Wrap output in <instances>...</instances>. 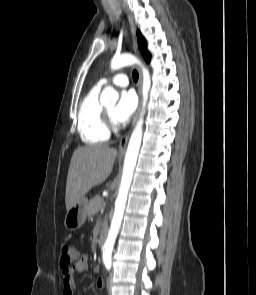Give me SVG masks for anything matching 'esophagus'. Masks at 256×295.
I'll return each instance as SVG.
<instances>
[{"label":"esophagus","mask_w":256,"mask_h":295,"mask_svg":"<svg viewBox=\"0 0 256 295\" xmlns=\"http://www.w3.org/2000/svg\"><path fill=\"white\" fill-rule=\"evenodd\" d=\"M127 16H128V20H129V24H130L131 34H132L133 49H134L136 55L139 56V49H138V44H137V39H136V28H135V25L133 23L131 16L129 14H127ZM141 88H142V73L139 72V82H138L139 105H138V109L134 115V119H133L130 130L120 140L119 157H122L125 154L127 142L129 140L131 131H132L134 125L136 124V121L138 118V114H139L140 106H141Z\"/></svg>","instance_id":"1"}]
</instances>
